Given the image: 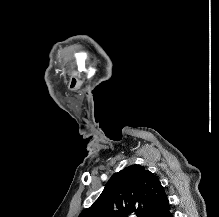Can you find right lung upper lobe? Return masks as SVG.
Segmentation results:
<instances>
[{"label": "right lung upper lobe", "mask_w": 219, "mask_h": 217, "mask_svg": "<svg viewBox=\"0 0 219 217\" xmlns=\"http://www.w3.org/2000/svg\"><path fill=\"white\" fill-rule=\"evenodd\" d=\"M169 201L158 178L144 166L113 174L93 205L79 217H162Z\"/></svg>", "instance_id": "obj_1"}]
</instances>
